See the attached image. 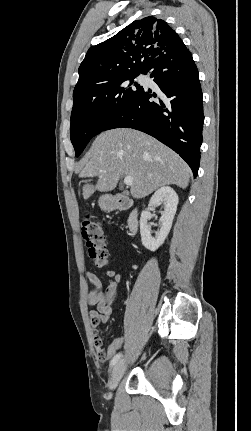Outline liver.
Instances as JSON below:
<instances>
[{"mask_svg": "<svg viewBox=\"0 0 251 431\" xmlns=\"http://www.w3.org/2000/svg\"><path fill=\"white\" fill-rule=\"evenodd\" d=\"M190 175L189 166L173 150L145 133L128 128L99 134L79 173L81 178L98 177L95 186L89 183L83 186L85 200L96 190H114L121 177H133L130 193L140 199L166 185L185 189Z\"/></svg>", "mask_w": 251, "mask_h": 431, "instance_id": "6515ba94", "label": "liver"}]
</instances>
